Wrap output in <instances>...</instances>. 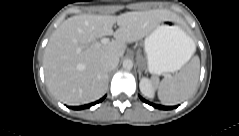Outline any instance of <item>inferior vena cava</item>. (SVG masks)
Here are the masks:
<instances>
[{"mask_svg": "<svg viewBox=\"0 0 239 136\" xmlns=\"http://www.w3.org/2000/svg\"><path fill=\"white\" fill-rule=\"evenodd\" d=\"M118 63H119L118 57L110 56V57H105L102 59L103 67L107 71H112L113 69H115L117 67Z\"/></svg>", "mask_w": 239, "mask_h": 136, "instance_id": "602c4592", "label": "inferior vena cava"}]
</instances>
